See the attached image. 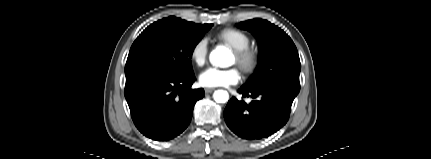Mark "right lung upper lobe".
Here are the masks:
<instances>
[{
	"label": "right lung upper lobe",
	"instance_id": "cb5924a9",
	"mask_svg": "<svg viewBox=\"0 0 431 159\" xmlns=\"http://www.w3.org/2000/svg\"><path fill=\"white\" fill-rule=\"evenodd\" d=\"M171 17H173V16H171ZM185 22H187V21H185ZM187 23H190V24H193V25H199V24H195V23H192V22H187Z\"/></svg>",
	"mask_w": 431,
	"mask_h": 159
}]
</instances>
